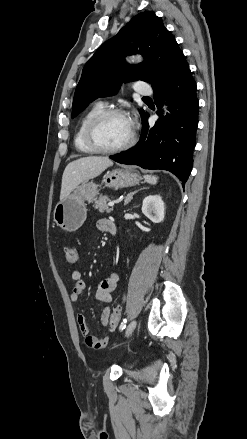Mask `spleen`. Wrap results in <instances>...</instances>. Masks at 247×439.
I'll list each match as a JSON object with an SVG mask.
<instances>
[{
    "mask_svg": "<svg viewBox=\"0 0 247 439\" xmlns=\"http://www.w3.org/2000/svg\"><path fill=\"white\" fill-rule=\"evenodd\" d=\"M144 179L150 184H156L158 181V177L154 175H144Z\"/></svg>",
    "mask_w": 247,
    "mask_h": 439,
    "instance_id": "obj_1",
    "label": "spleen"
}]
</instances>
